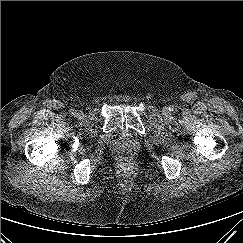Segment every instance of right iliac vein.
I'll use <instances>...</instances> for the list:
<instances>
[{
    "mask_svg": "<svg viewBox=\"0 0 243 243\" xmlns=\"http://www.w3.org/2000/svg\"><path fill=\"white\" fill-rule=\"evenodd\" d=\"M75 116L78 117V118L82 117L83 116V112L82 111H76Z\"/></svg>",
    "mask_w": 243,
    "mask_h": 243,
    "instance_id": "63e3f726",
    "label": "right iliac vein"
}]
</instances>
